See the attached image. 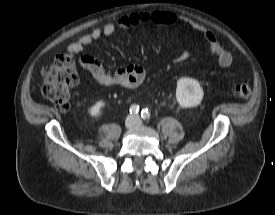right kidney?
<instances>
[{
    "mask_svg": "<svg viewBox=\"0 0 275 215\" xmlns=\"http://www.w3.org/2000/svg\"><path fill=\"white\" fill-rule=\"evenodd\" d=\"M105 106V102L104 101H98L96 102L90 109H89V114L91 116H97L100 114V110L101 108H103Z\"/></svg>",
    "mask_w": 275,
    "mask_h": 215,
    "instance_id": "ca27d5eb",
    "label": "right kidney"
}]
</instances>
